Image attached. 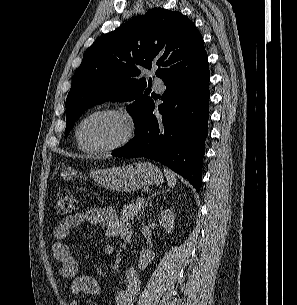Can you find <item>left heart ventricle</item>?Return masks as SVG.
<instances>
[{"instance_id": "1", "label": "left heart ventricle", "mask_w": 297, "mask_h": 305, "mask_svg": "<svg viewBox=\"0 0 297 305\" xmlns=\"http://www.w3.org/2000/svg\"><path fill=\"white\" fill-rule=\"evenodd\" d=\"M124 133L125 126L119 118L99 115L83 124L80 135L85 146H105L120 140Z\"/></svg>"}]
</instances>
